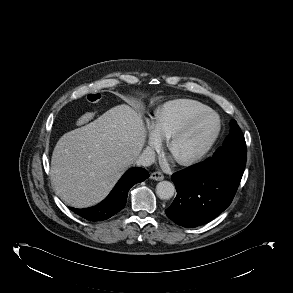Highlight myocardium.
I'll return each instance as SVG.
<instances>
[{
  "mask_svg": "<svg viewBox=\"0 0 293 293\" xmlns=\"http://www.w3.org/2000/svg\"><path fill=\"white\" fill-rule=\"evenodd\" d=\"M212 117L215 120V127L210 135V137L207 139L203 147L192 157L182 160H177V162L180 165L183 166H191L199 161H201L206 154L211 150L213 145L215 144L220 131H221V120L217 113H215L212 110H208L199 114L194 115L189 120H187L180 128H178L174 133L171 134V136L167 139V149L171 153L172 147L174 143L180 139L182 136H184L187 132H189L198 122L205 118Z\"/></svg>",
  "mask_w": 293,
  "mask_h": 293,
  "instance_id": "obj_1",
  "label": "myocardium"
}]
</instances>
